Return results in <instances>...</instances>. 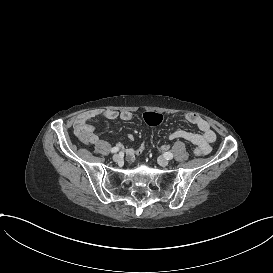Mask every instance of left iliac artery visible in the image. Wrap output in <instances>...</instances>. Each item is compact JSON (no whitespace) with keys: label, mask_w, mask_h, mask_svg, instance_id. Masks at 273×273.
I'll return each mask as SVG.
<instances>
[{"label":"left iliac artery","mask_w":273,"mask_h":273,"mask_svg":"<svg viewBox=\"0 0 273 273\" xmlns=\"http://www.w3.org/2000/svg\"><path fill=\"white\" fill-rule=\"evenodd\" d=\"M166 158H167V160L172 159L173 158V154L171 152H167L166 153Z\"/></svg>","instance_id":"left-iliac-artery-1"}]
</instances>
